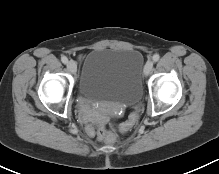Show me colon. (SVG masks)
<instances>
[{
	"mask_svg": "<svg viewBox=\"0 0 219 174\" xmlns=\"http://www.w3.org/2000/svg\"><path fill=\"white\" fill-rule=\"evenodd\" d=\"M137 114L133 113L129 119L123 123L120 127L121 132H127L131 129V127L137 121ZM86 132L90 136H97L98 139L106 141L108 143H113L116 139V132L114 130H110L105 128L104 126H93L88 125L86 127Z\"/></svg>",
	"mask_w": 219,
	"mask_h": 174,
	"instance_id": "obj_1",
	"label": "colon"
}]
</instances>
